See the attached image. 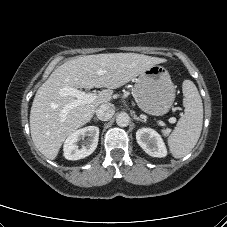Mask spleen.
I'll return each mask as SVG.
<instances>
[{"mask_svg": "<svg viewBox=\"0 0 227 227\" xmlns=\"http://www.w3.org/2000/svg\"><path fill=\"white\" fill-rule=\"evenodd\" d=\"M182 91L184 115L168 137L169 149L175 158L184 157L194 148L203 124V104L195 84L191 80H184Z\"/></svg>", "mask_w": 227, "mask_h": 227, "instance_id": "obj_1", "label": "spleen"}]
</instances>
